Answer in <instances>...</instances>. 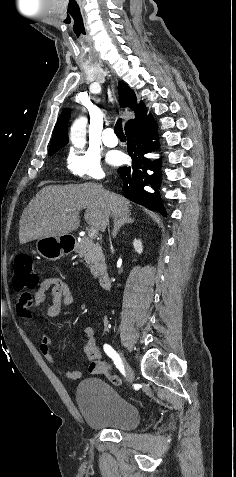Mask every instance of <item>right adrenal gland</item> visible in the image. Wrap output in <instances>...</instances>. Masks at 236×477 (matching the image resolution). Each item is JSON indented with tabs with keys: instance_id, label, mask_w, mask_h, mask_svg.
<instances>
[{
	"instance_id": "2a0ac1e0",
	"label": "right adrenal gland",
	"mask_w": 236,
	"mask_h": 477,
	"mask_svg": "<svg viewBox=\"0 0 236 477\" xmlns=\"http://www.w3.org/2000/svg\"><path fill=\"white\" fill-rule=\"evenodd\" d=\"M131 212L128 211L126 212L125 214H123L122 216L118 217V218H114V229H113V233H112V236L113 238L116 237L118 231L120 230V228L122 226H124L126 223H133L134 222V218H131Z\"/></svg>"
}]
</instances>
